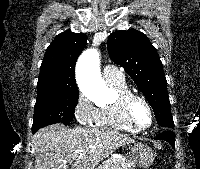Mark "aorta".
Masks as SVG:
<instances>
[{
	"mask_svg": "<svg viewBox=\"0 0 200 169\" xmlns=\"http://www.w3.org/2000/svg\"><path fill=\"white\" fill-rule=\"evenodd\" d=\"M99 65L98 50L90 48L81 54L76 66V78L80 90L95 102L103 100L108 93V87L101 77Z\"/></svg>",
	"mask_w": 200,
	"mask_h": 169,
	"instance_id": "obj_1",
	"label": "aorta"
}]
</instances>
